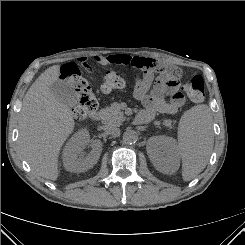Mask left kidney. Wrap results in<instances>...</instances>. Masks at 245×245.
<instances>
[{"label":"left kidney","mask_w":245,"mask_h":245,"mask_svg":"<svg viewBox=\"0 0 245 245\" xmlns=\"http://www.w3.org/2000/svg\"><path fill=\"white\" fill-rule=\"evenodd\" d=\"M147 154L155 166L162 173H173L180 164L178 146L172 137L164 135L150 137L146 145Z\"/></svg>","instance_id":"1"}]
</instances>
